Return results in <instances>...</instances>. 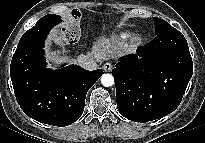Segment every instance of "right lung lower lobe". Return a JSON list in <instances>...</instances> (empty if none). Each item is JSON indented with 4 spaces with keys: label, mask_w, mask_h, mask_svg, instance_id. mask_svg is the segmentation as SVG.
<instances>
[{
    "label": "right lung lower lobe",
    "mask_w": 205,
    "mask_h": 143,
    "mask_svg": "<svg viewBox=\"0 0 205 143\" xmlns=\"http://www.w3.org/2000/svg\"><path fill=\"white\" fill-rule=\"evenodd\" d=\"M57 23L56 19L42 17L23 34L11 61L10 76L25 114L38 122L64 127L81 116L87 91L103 71L74 65L55 71L46 67L42 48Z\"/></svg>",
    "instance_id": "right-lung-lower-lobe-1"
}]
</instances>
